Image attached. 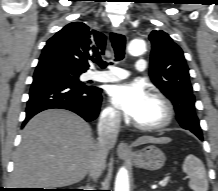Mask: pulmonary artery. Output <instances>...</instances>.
Returning a JSON list of instances; mask_svg holds the SVG:
<instances>
[{
	"label": "pulmonary artery",
	"mask_w": 218,
	"mask_h": 191,
	"mask_svg": "<svg viewBox=\"0 0 218 191\" xmlns=\"http://www.w3.org/2000/svg\"><path fill=\"white\" fill-rule=\"evenodd\" d=\"M135 68L137 71H143L146 68V60L139 58L136 61ZM130 74L122 68L111 66L108 71L90 72L87 79L99 82H116L127 78Z\"/></svg>",
	"instance_id": "obj_1"
}]
</instances>
